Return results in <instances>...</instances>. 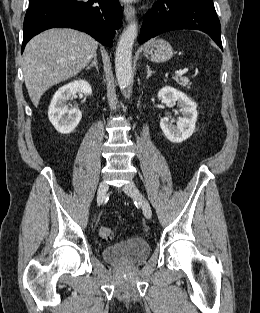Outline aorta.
Listing matches in <instances>:
<instances>
[{
    "label": "aorta",
    "mask_w": 260,
    "mask_h": 313,
    "mask_svg": "<svg viewBox=\"0 0 260 313\" xmlns=\"http://www.w3.org/2000/svg\"><path fill=\"white\" fill-rule=\"evenodd\" d=\"M137 23L132 22L121 34L115 54L117 82L121 90L130 91L132 85V48L137 37Z\"/></svg>",
    "instance_id": "obj_1"
}]
</instances>
